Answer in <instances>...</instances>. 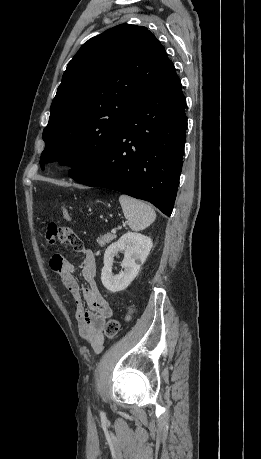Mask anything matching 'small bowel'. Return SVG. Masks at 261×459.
<instances>
[{
	"label": "small bowel",
	"mask_w": 261,
	"mask_h": 459,
	"mask_svg": "<svg viewBox=\"0 0 261 459\" xmlns=\"http://www.w3.org/2000/svg\"><path fill=\"white\" fill-rule=\"evenodd\" d=\"M46 239L50 243L56 240L68 243L82 256L79 275L75 265L60 253H55L51 257L50 267L60 276L63 285L74 298L75 317L81 337L95 354H99L104 345L103 327L113 311L96 284L97 268L94 254L85 248L81 239L66 227L50 224L46 231Z\"/></svg>",
	"instance_id": "c3829d8e"
}]
</instances>
